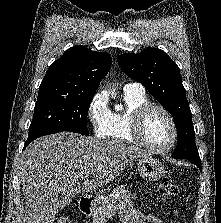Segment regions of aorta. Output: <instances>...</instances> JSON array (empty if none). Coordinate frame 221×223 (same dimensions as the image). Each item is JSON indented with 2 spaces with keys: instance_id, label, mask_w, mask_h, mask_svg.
Here are the masks:
<instances>
[{
  "instance_id": "obj_1",
  "label": "aorta",
  "mask_w": 221,
  "mask_h": 223,
  "mask_svg": "<svg viewBox=\"0 0 221 223\" xmlns=\"http://www.w3.org/2000/svg\"><path fill=\"white\" fill-rule=\"evenodd\" d=\"M112 97H113V95H112ZM114 98H115V96H114ZM118 109H122V107H121V106H119V107H118Z\"/></svg>"
}]
</instances>
